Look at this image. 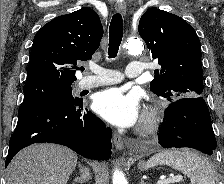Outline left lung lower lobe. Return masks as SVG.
I'll list each match as a JSON object with an SVG mask.
<instances>
[{
    "label": "left lung lower lobe",
    "mask_w": 224,
    "mask_h": 184,
    "mask_svg": "<svg viewBox=\"0 0 224 184\" xmlns=\"http://www.w3.org/2000/svg\"><path fill=\"white\" fill-rule=\"evenodd\" d=\"M159 132L163 148L190 147L212 155L217 146L210 113L201 96L172 101Z\"/></svg>",
    "instance_id": "obj_1"
}]
</instances>
